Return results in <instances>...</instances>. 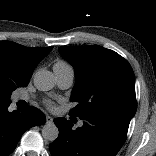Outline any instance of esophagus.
Instances as JSON below:
<instances>
[{
	"label": "esophagus",
	"instance_id": "obj_1",
	"mask_svg": "<svg viewBox=\"0 0 156 156\" xmlns=\"http://www.w3.org/2000/svg\"><path fill=\"white\" fill-rule=\"evenodd\" d=\"M53 122V118L49 115H46V123L51 124Z\"/></svg>",
	"mask_w": 156,
	"mask_h": 156
}]
</instances>
